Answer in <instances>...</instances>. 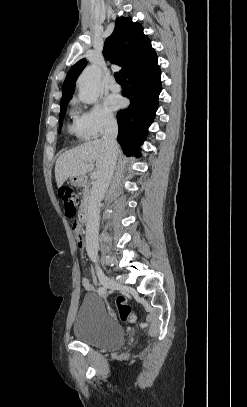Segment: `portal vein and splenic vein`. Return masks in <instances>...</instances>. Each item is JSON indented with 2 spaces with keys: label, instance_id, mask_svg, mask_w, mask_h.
<instances>
[{
  "label": "portal vein and splenic vein",
  "instance_id": "18ae733b",
  "mask_svg": "<svg viewBox=\"0 0 247 407\" xmlns=\"http://www.w3.org/2000/svg\"><path fill=\"white\" fill-rule=\"evenodd\" d=\"M90 162L92 163V161H90ZM97 177H98V172L94 171L93 173H91L90 178H91L92 180L96 179Z\"/></svg>",
  "mask_w": 247,
  "mask_h": 407
}]
</instances>
